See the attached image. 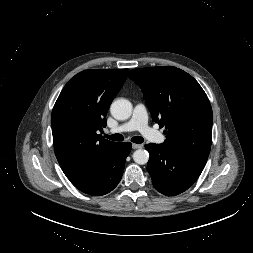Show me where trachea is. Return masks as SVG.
Masks as SVG:
<instances>
[{
	"label": "trachea",
	"instance_id": "1",
	"mask_svg": "<svg viewBox=\"0 0 253 253\" xmlns=\"http://www.w3.org/2000/svg\"><path fill=\"white\" fill-rule=\"evenodd\" d=\"M105 137L112 140V141H123L124 140V137L121 134H113V135H106L105 134ZM131 141L134 143H137V144H141L144 141V139L140 136H134L131 139Z\"/></svg>",
	"mask_w": 253,
	"mask_h": 253
}]
</instances>
